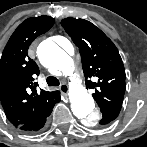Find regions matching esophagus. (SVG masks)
Returning <instances> with one entry per match:
<instances>
[{
  "label": "esophagus",
  "instance_id": "esophagus-1",
  "mask_svg": "<svg viewBox=\"0 0 147 147\" xmlns=\"http://www.w3.org/2000/svg\"><path fill=\"white\" fill-rule=\"evenodd\" d=\"M59 89L61 90L62 93L66 94V95H67L68 92H69V87H68V85L65 84V83L61 84V85L59 86Z\"/></svg>",
  "mask_w": 147,
  "mask_h": 147
}]
</instances>
